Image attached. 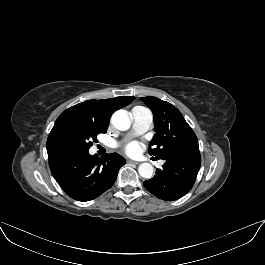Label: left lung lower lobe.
I'll use <instances>...</instances> for the list:
<instances>
[{"mask_svg": "<svg viewBox=\"0 0 265 265\" xmlns=\"http://www.w3.org/2000/svg\"><path fill=\"white\" fill-rule=\"evenodd\" d=\"M163 169L144 181L145 188L156 197L173 201L186 195L192 188L201 165L200 151L169 153L161 158Z\"/></svg>", "mask_w": 265, "mask_h": 265, "instance_id": "1", "label": "left lung lower lobe"}]
</instances>
